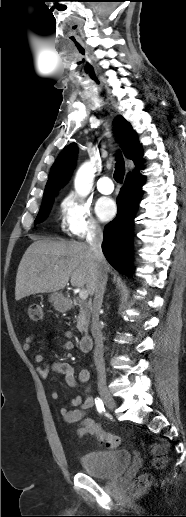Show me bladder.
Wrapping results in <instances>:
<instances>
[{
  "mask_svg": "<svg viewBox=\"0 0 186 517\" xmlns=\"http://www.w3.org/2000/svg\"><path fill=\"white\" fill-rule=\"evenodd\" d=\"M131 453L127 449L113 452H90L81 457V465L85 473L99 479H110L120 476L130 465Z\"/></svg>",
  "mask_w": 186,
  "mask_h": 517,
  "instance_id": "bladder-1",
  "label": "bladder"
}]
</instances>
